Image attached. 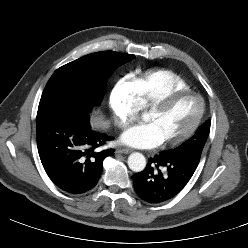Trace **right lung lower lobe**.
<instances>
[{"label":"right lung lower lobe","mask_w":248,"mask_h":248,"mask_svg":"<svg viewBox=\"0 0 248 248\" xmlns=\"http://www.w3.org/2000/svg\"><path fill=\"white\" fill-rule=\"evenodd\" d=\"M112 139L91 129L88 113L38 110L37 146L42 165L51 181L68 193L82 194L96 186L103 160L115 151L97 148Z\"/></svg>","instance_id":"obj_1"}]
</instances>
